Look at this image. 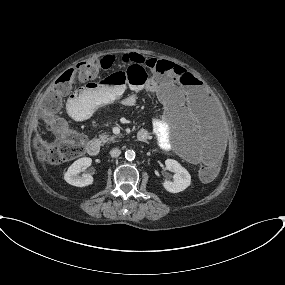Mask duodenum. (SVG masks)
<instances>
[{"label":"duodenum","instance_id":"obj_1","mask_svg":"<svg viewBox=\"0 0 285 285\" xmlns=\"http://www.w3.org/2000/svg\"><path fill=\"white\" fill-rule=\"evenodd\" d=\"M137 139L141 142L147 139V133L145 131H139ZM87 151L89 155L96 156L100 152V142L98 140H91L87 145Z\"/></svg>","mask_w":285,"mask_h":285}]
</instances>
